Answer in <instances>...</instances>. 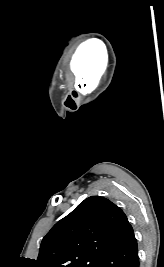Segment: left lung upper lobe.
<instances>
[{"mask_svg": "<svg viewBox=\"0 0 164 267\" xmlns=\"http://www.w3.org/2000/svg\"><path fill=\"white\" fill-rule=\"evenodd\" d=\"M128 220L110 200L91 196L43 238L35 267H98Z\"/></svg>", "mask_w": 164, "mask_h": 267, "instance_id": "left-lung-upper-lobe-1", "label": "left lung upper lobe"}]
</instances>
